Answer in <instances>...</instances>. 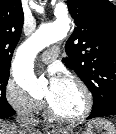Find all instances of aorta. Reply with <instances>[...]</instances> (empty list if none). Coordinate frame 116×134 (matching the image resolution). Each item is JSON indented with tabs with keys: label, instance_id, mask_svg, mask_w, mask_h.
Segmentation results:
<instances>
[{
	"label": "aorta",
	"instance_id": "aorta-1",
	"mask_svg": "<svg viewBox=\"0 0 116 134\" xmlns=\"http://www.w3.org/2000/svg\"><path fill=\"white\" fill-rule=\"evenodd\" d=\"M70 19L62 17L53 23L43 24L24 42L13 62V77L20 88L30 95L42 93L46 80L38 79L33 71V59L45 47L63 39L70 29Z\"/></svg>",
	"mask_w": 116,
	"mask_h": 134
}]
</instances>
